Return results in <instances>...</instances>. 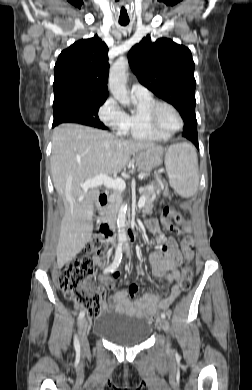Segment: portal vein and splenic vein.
Returning <instances> with one entry per match:
<instances>
[{
  "instance_id": "1",
  "label": "portal vein and splenic vein",
  "mask_w": 252,
  "mask_h": 390,
  "mask_svg": "<svg viewBox=\"0 0 252 390\" xmlns=\"http://www.w3.org/2000/svg\"><path fill=\"white\" fill-rule=\"evenodd\" d=\"M101 185H104L107 188L115 189L117 191H123L126 187L125 181L123 179H121V178L113 179V178H110L109 176L104 175V174H99L92 179L86 180L84 183L81 184V187L86 190V189L95 188V187H98ZM143 190H144V188H140L139 192L142 193ZM144 204H145V198L142 196L139 199L138 207L141 208L144 206Z\"/></svg>"
}]
</instances>
